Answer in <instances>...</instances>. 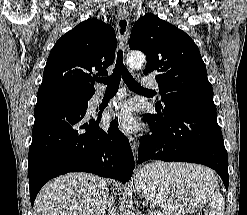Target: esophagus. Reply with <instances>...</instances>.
<instances>
[{"mask_svg": "<svg viewBox=\"0 0 247 215\" xmlns=\"http://www.w3.org/2000/svg\"><path fill=\"white\" fill-rule=\"evenodd\" d=\"M118 16H119L120 19H127L129 17V12L125 8L119 9L118 10ZM127 41H128V34L126 33L120 40V48L122 50L126 49ZM129 140H130V143H131L134 159L136 160V154H137V150H138V147H139V142H138L137 138H135L133 136H130Z\"/></svg>", "mask_w": 247, "mask_h": 215, "instance_id": "obj_1", "label": "esophagus"}]
</instances>
